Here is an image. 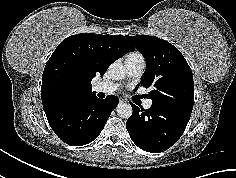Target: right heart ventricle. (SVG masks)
<instances>
[{
	"label": "right heart ventricle",
	"instance_id": "right-heart-ventricle-1",
	"mask_svg": "<svg viewBox=\"0 0 236 178\" xmlns=\"http://www.w3.org/2000/svg\"><path fill=\"white\" fill-rule=\"evenodd\" d=\"M130 55H134V56H142L140 53H138V52H133V53H131Z\"/></svg>",
	"mask_w": 236,
	"mask_h": 178
}]
</instances>
